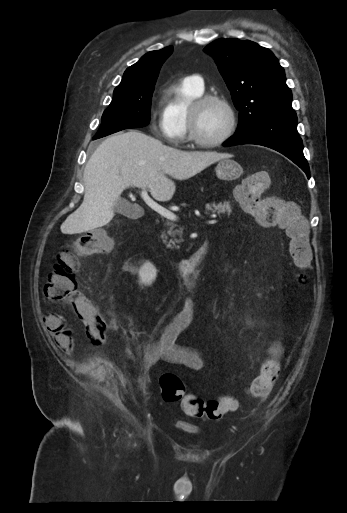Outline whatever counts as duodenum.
<instances>
[{"label": "duodenum", "mask_w": 347, "mask_h": 513, "mask_svg": "<svg viewBox=\"0 0 347 513\" xmlns=\"http://www.w3.org/2000/svg\"><path fill=\"white\" fill-rule=\"evenodd\" d=\"M208 250L209 244L205 242L188 258L175 262L173 268L177 278L181 281H194L196 269L206 257Z\"/></svg>", "instance_id": "obj_1"}]
</instances>
